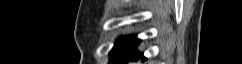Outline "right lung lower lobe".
I'll return each instance as SVG.
<instances>
[{
	"mask_svg": "<svg viewBox=\"0 0 242 64\" xmlns=\"http://www.w3.org/2000/svg\"><path fill=\"white\" fill-rule=\"evenodd\" d=\"M132 59H136V60H139V59H141L142 61H144V60H146V58L143 56V54H137V55H135L134 57H132L131 59H125V60H122L120 63L121 64H124V63H126V62H128V61H130V60H132Z\"/></svg>",
	"mask_w": 242,
	"mask_h": 64,
	"instance_id": "obj_1",
	"label": "right lung lower lobe"
}]
</instances>
